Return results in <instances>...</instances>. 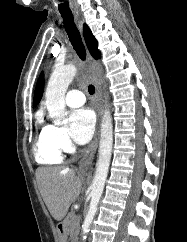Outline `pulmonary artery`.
Returning <instances> with one entry per match:
<instances>
[{
    "label": "pulmonary artery",
    "mask_w": 187,
    "mask_h": 242,
    "mask_svg": "<svg viewBox=\"0 0 187 242\" xmlns=\"http://www.w3.org/2000/svg\"><path fill=\"white\" fill-rule=\"evenodd\" d=\"M65 101L70 107H78L85 102V97L79 90H69L65 96Z\"/></svg>",
    "instance_id": "e3ab8cb5"
}]
</instances>
